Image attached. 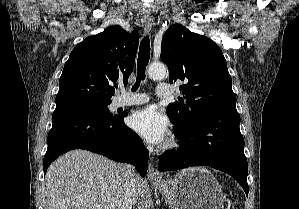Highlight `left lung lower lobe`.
I'll return each mask as SVG.
<instances>
[{
  "instance_id": "left-lung-lower-lobe-1",
  "label": "left lung lower lobe",
  "mask_w": 299,
  "mask_h": 209,
  "mask_svg": "<svg viewBox=\"0 0 299 209\" xmlns=\"http://www.w3.org/2000/svg\"><path fill=\"white\" fill-rule=\"evenodd\" d=\"M239 123L236 108H229L212 111L195 124L176 129L180 148L163 155L159 170L207 165L231 175L248 195V165Z\"/></svg>"
}]
</instances>
